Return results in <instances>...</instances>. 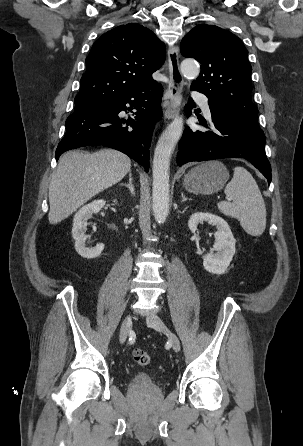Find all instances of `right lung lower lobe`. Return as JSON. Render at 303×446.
<instances>
[{
    "label": "right lung lower lobe",
    "mask_w": 303,
    "mask_h": 446,
    "mask_svg": "<svg viewBox=\"0 0 303 446\" xmlns=\"http://www.w3.org/2000/svg\"><path fill=\"white\" fill-rule=\"evenodd\" d=\"M162 93L158 83L127 96L74 110L66 120V134L56 149V160L71 149L102 145L125 153L148 171V148L154 125L162 116ZM132 108L136 109L134 118L119 116L121 111Z\"/></svg>",
    "instance_id": "obj_1"
}]
</instances>
